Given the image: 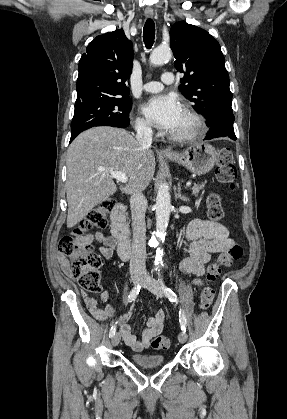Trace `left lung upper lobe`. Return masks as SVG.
Segmentation results:
<instances>
[{
	"label": "left lung upper lobe",
	"instance_id": "1",
	"mask_svg": "<svg viewBox=\"0 0 287 419\" xmlns=\"http://www.w3.org/2000/svg\"><path fill=\"white\" fill-rule=\"evenodd\" d=\"M175 68L184 73L179 90L204 115L207 124L224 107H231L229 75L219 43L205 30L178 22L170 30Z\"/></svg>",
	"mask_w": 287,
	"mask_h": 419
}]
</instances>
